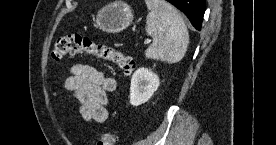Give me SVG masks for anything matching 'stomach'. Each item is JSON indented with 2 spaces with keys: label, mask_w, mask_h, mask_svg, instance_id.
Listing matches in <instances>:
<instances>
[{
  "label": "stomach",
  "mask_w": 276,
  "mask_h": 145,
  "mask_svg": "<svg viewBox=\"0 0 276 145\" xmlns=\"http://www.w3.org/2000/svg\"><path fill=\"white\" fill-rule=\"evenodd\" d=\"M133 11L123 1H116L103 7L96 16V25L108 33H118L133 21Z\"/></svg>",
  "instance_id": "stomach-1"
}]
</instances>
